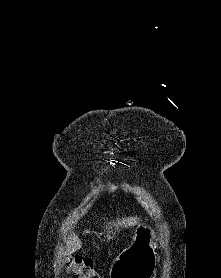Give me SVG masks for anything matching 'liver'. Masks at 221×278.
Wrapping results in <instances>:
<instances>
[{"label": "liver", "instance_id": "obj_1", "mask_svg": "<svg viewBox=\"0 0 221 278\" xmlns=\"http://www.w3.org/2000/svg\"><path fill=\"white\" fill-rule=\"evenodd\" d=\"M110 224H112L115 227V229H117V230L119 229V227H122V228L133 227L138 224V218L137 217H127V218L117 219L116 222L113 221V222H110ZM109 228H111V226H109ZM109 233L113 234V232H109ZM106 238L109 241L113 237L108 234L106 236ZM81 246H82V243H81V240L78 238V236L75 233L71 234L68 237L67 242H66L65 254L71 255L72 253L79 250L81 248Z\"/></svg>", "mask_w": 221, "mask_h": 278}]
</instances>
